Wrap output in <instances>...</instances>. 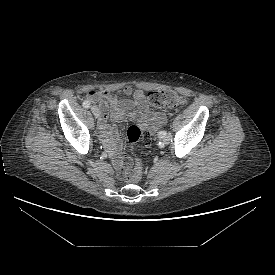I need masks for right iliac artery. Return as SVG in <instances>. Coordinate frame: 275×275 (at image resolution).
<instances>
[{
  "label": "right iliac artery",
  "mask_w": 275,
  "mask_h": 275,
  "mask_svg": "<svg viewBox=\"0 0 275 275\" xmlns=\"http://www.w3.org/2000/svg\"><path fill=\"white\" fill-rule=\"evenodd\" d=\"M90 105H91V103H90L89 101H87V100H85V101L83 102V107H84V108H89Z\"/></svg>",
  "instance_id": "82829eb1"
}]
</instances>
